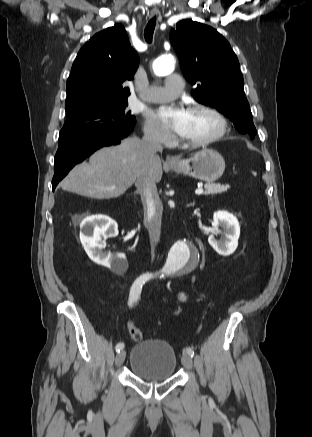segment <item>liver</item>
<instances>
[{
  "label": "liver",
  "instance_id": "6515ba94",
  "mask_svg": "<svg viewBox=\"0 0 312 437\" xmlns=\"http://www.w3.org/2000/svg\"><path fill=\"white\" fill-rule=\"evenodd\" d=\"M147 147L137 137H128L117 146L104 147L90 156L88 162L76 165L62 180L63 190L94 199L121 196L139 177L151 173L155 182L163 174L162 163L146 156Z\"/></svg>",
  "mask_w": 312,
  "mask_h": 437
}]
</instances>
